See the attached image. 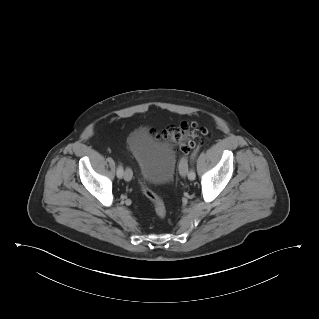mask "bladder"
<instances>
[{"mask_svg":"<svg viewBox=\"0 0 319 319\" xmlns=\"http://www.w3.org/2000/svg\"><path fill=\"white\" fill-rule=\"evenodd\" d=\"M127 146L145 182L164 185L173 177L176 159L171 142L156 140L145 128L139 127L128 134Z\"/></svg>","mask_w":319,"mask_h":319,"instance_id":"obj_1","label":"bladder"}]
</instances>
